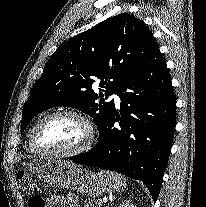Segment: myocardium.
<instances>
[{"mask_svg": "<svg viewBox=\"0 0 206 207\" xmlns=\"http://www.w3.org/2000/svg\"><path fill=\"white\" fill-rule=\"evenodd\" d=\"M61 116H69V117L76 118L85 125L88 131V137L83 145H81L78 148L72 149V150H54V149L45 148L38 144L36 140V133H37L38 128L47 120L55 118V117H61ZM29 139H30V144L32 148L36 152H39L42 154L53 155V156L73 157V156L86 153L93 147L95 143V139H96V131H95V127L92 121L86 115L82 114L81 112H78L75 110H59V111L52 112L42 117L32 128Z\"/></svg>", "mask_w": 206, "mask_h": 207, "instance_id": "f54148a6", "label": "myocardium"}]
</instances>
